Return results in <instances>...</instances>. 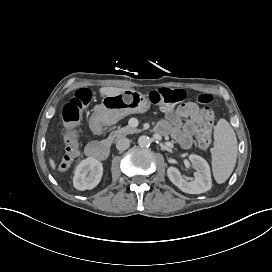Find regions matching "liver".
Instances as JSON below:
<instances>
[{
    "label": "liver",
    "mask_w": 272,
    "mask_h": 272,
    "mask_svg": "<svg viewBox=\"0 0 272 272\" xmlns=\"http://www.w3.org/2000/svg\"><path fill=\"white\" fill-rule=\"evenodd\" d=\"M124 89H119V88H111V87H104L101 89L102 94L105 95H115L118 93H122ZM53 165V163H51Z\"/></svg>",
    "instance_id": "liver-1"
}]
</instances>
